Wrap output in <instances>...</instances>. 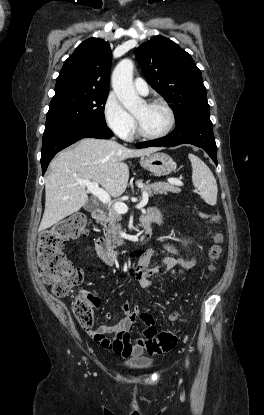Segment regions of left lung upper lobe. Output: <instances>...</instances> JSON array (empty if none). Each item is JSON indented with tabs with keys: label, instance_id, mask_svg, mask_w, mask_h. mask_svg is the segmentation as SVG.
Listing matches in <instances>:
<instances>
[{
	"label": "left lung upper lobe",
	"instance_id": "5c2ea615",
	"mask_svg": "<svg viewBox=\"0 0 264 415\" xmlns=\"http://www.w3.org/2000/svg\"><path fill=\"white\" fill-rule=\"evenodd\" d=\"M146 80L170 103L176 124L197 111H209L202 75L189 53L163 36L135 50Z\"/></svg>",
	"mask_w": 264,
	"mask_h": 415
}]
</instances>
